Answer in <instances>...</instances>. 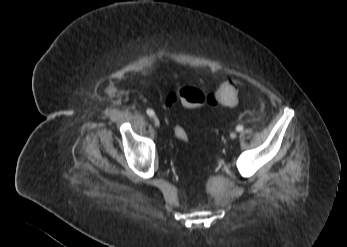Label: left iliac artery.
I'll return each mask as SVG.
<instances>
[{
  "label": "left iliac artery",
  "instance_id": "left-iliac-artery-1",
  "mask_svg": "<svg viewBox=\"0 0 347 247\" xmlns=\"http://www.w3.org/2000/svg\"><path fill=\"white\" fill-rule=\"evenodd\" d=\"M236 130H237L238 132L243 131V126H242V125H238V126L236 127Z\"/></svg>",
  "mask_w": 347,
  "mask_h": 247
}]
</instances>
